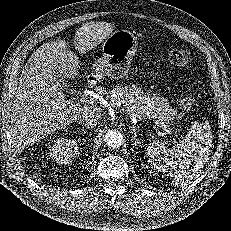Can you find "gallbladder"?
I'll return each instance as SVG.
<instances>
[{"label": "gallbladder", "mask_w": 231, "mask_h": 231, "mask_svg": "<svg viewBox=\"0 0 231 231\" xmlns=\"http://www.w3.org/2000/svg\"><path fill=\"white\" fill-rule=\"evenodd\" d=\"M53 75L56 77V82L61 88H66L69 86V85H67V83H66V81L62 75H60L56 72Z\"/></svg>", "instance_id": "bac80fb5"}]
</instances>
